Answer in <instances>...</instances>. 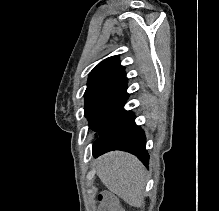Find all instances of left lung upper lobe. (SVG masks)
I'll list each match as a JSON object with an SVG mask.
<instances>
[{
  "instance_id": "left-lung-upper-lobe-1",
  "label": "left lung upper lobe",
  "mask_w": 219,
  "mask_h": 211,
  "mask_svg": "<svg viewBox=\"0 0 219 211\" xmlns=\"http://www.w3.org/2000/svg\"><path fill=\"white\" fill-rule=\"evenodd\" d=\"M124 67L118 56L101 61L89 74L84 113L95 139L108 134L128 113L123 109L129 94Z\"/></svg>"
}]
</instances>
